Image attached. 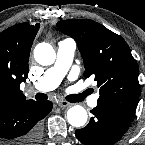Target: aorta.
<instances>
[{
	"label": "aorta",
	"mask_w": 145,
	"mask_h": 145,
	"mask_svg": "<svg viewBox=\"0 0 145 145\" xmlns=\"http://www.w3.org/2000/svg\"><path fill=\"white\" fill-rule=\"evenodd\" d=\"M34 58L40 65L47 66L54 63L56 53L50 44L39 43L34 49ZM87 118L86 110L80 105H75L67 111L68 123L74 127L84 126Z\"/></svg>",
	"instance_id": "obj_1"
}]
</instances>
